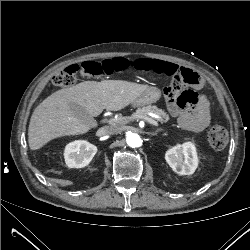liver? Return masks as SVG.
I'll return each mask as SVG.
<instances>
[{"label":"liver","instance_id":"obj_1","mask_svg":"<svg viewBox=\"0 0 250 250\" xmlns=\"http://www.w3.org/2000/svg\"><path fill=\"white\" fill-rule=\"evenodd\" d=\"M149 88L123 80L84 81L58 90L44 99L34 110L28 128L31 150H38L52 139L87 133L95 126L92 118L104 109L118 111L138 98ZM70 103L81 105L89 114V121L77 118Z\"/></svg>","mask_w":250,"mask_h":250}]
</instances>
